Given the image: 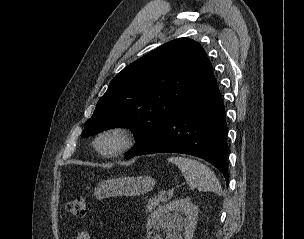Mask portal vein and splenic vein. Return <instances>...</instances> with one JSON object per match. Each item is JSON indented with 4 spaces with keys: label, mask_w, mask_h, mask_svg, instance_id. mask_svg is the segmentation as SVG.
<instances>
[{
    "label": "portal vein and splenic vein",
    "mask_w": 304,
    "mask_h": 239,
    "mask_svg": "<svg viewBox=\"0 0 304 239\" xmlns=\"http://www.w3.org/2000/svg\"><path fill=\"white\" fill-rule=\"evenodd\" d=\"M168 195H169V196H172V195H173V191H169V192H168Z\"/></svg>",
    "instance_id": "obj_1"
}]
</instances>
